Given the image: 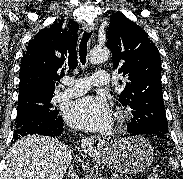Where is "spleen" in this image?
Listing matches in <instances>:
<instances>
[{
	"mask_svg": "<svg viewBox=\"0 0 183 179\" xmlns=\"http://www.w3.org/2000/svg\"><path fill=\"white\" fill-rule=\"evenodd\" d=\"M169 163H170V166H171L174 170L178 169L179 164H178V162H177L176 159L170 158Z\"/></svg>",
	"mask_w": 183,
	"mask_h": 179,
	"instance_id": "1",
	"label": "spleen"
}]
</instances>
